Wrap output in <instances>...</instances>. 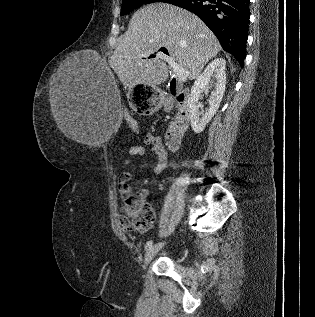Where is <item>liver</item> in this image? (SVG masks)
Wrapping results in <instances>:
<instances>
[{
	"mask_svg": "<svg viewBox=\"0 0 315 317\" xmlns=\"http://www.w3.org/2000/svg\"><path fill=\"white\" fill-rule=\"evenodd\" d=\"M160 47H165L170 57L159 54L157 58L148 59ZM220 49L215 35L196 15L171 4L155 3L135 12L109 64L127 88L138 84L154 86L168 77L165 58L173 59L188 71L187 78L195 79ZM68 65L66 61L63 69ZM112 100L116 107L118 99ZM70 101L60 99L57 89H53L51 111L67 138L83 142L82 122Z\"/></svg>",
	"mask_w": 315,
	"mask_h": 317,
	"instance_id": "liver-1",
	"label": "liver"
}]
</instances>
